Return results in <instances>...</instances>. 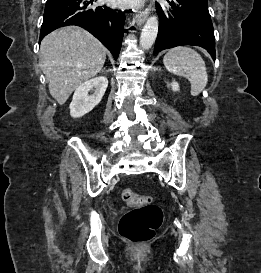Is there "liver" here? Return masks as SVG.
<instances>
[{"label":"liver","mask_w":261,"mask_h":273,"mask_svg":"<svg viewBox=\"0 0 261 273\" xmlns=\"http://www.w3.org/2000/svg\"><path fill=\"white\" fill-rule=\"evenodd\" d=\"M106 48L86 30L69 26L53 31L41 42L40 67L49 80L51 96L63 105L82 83L96 76Z\"/></svg>","instance_id":"1"}]
</instances>
